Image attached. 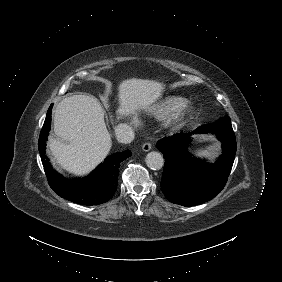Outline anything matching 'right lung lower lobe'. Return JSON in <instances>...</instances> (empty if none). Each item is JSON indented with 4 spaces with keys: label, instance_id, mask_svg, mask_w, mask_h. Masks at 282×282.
Wrapping results in <instances>:
<instances>
[{
    "label": "right lung lower lobe",
    "instance_id": "1",
    "mask_svg": "<svg viewBox=\"0 0 282 282\" xmlns=\"http://www.w3.org/2000/svg\"><path fill=\"white\" fill-rule=\"evenodd\" d=\"M49 107L38 141L42 164L50 187L62 198L82 205H98L107 202L117 190L118 168L120 163L131 156V151L115 153L107 157L87 178L82 185L70 182L55 172L45 155L47 136L51 126V109Z\"/></svg>",
    "mask_w": 282,
    "mask_h": 282
}]
</instances>
